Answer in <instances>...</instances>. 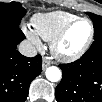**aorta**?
Masks as SVG:
<instances>
[{"label": "aorta", "instance_id": "obj_1", "mask_svg": "<svg viewBox=\"0 0 102 102\" xmlns=\"http://www.w3.org/2000/svg\"><path fill=\"white\" fill-rule=\"evenodd\" d=\"M46 78L51 82H58L61 80L62 73L60 69L56 66H50L45 72Z\"/></svg>", "mask_w": 102, "mask_h": 102}]
</instances>
